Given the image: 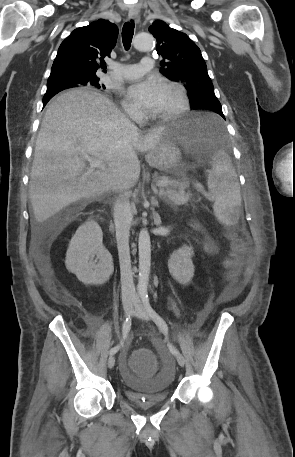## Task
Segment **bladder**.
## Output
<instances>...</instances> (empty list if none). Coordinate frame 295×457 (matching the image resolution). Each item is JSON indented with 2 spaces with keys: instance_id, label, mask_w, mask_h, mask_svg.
I'll return each mask as SVG.
<instances>
[{
  "instance_id": "31cf9c89",
  "label": "bladder",
  "mask_w": 295,
  "mask_h": 457,
  "mask_svg": "<svg viewBox=\"0 0 295 457\" xmlns=\"http://www.w3.org/2000/svg\"><path fill=\"white\" fill-rule=\"evenodd\" d=\"M155 351L160 354L159 374H149L147 377H143L141 374L130 375V371L132 372L130 360L127 361V364L118 366L117 376L124 378L126 385L124 396L131 404L137 406L139 411H148L149 407L163 404L170 397L168 386L176 363L172 359L171 353L166 352L164 342H157ZM119 362H122V359H119Z\"/></svg>"
}]
</instances>
